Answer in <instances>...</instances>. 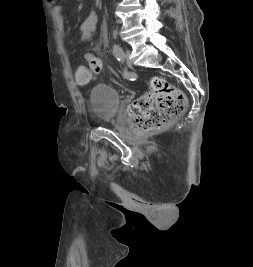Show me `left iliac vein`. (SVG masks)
<instances>
[{
    "instance_id": "obj_1",
    "label": "left iliac vein",
    "mask_w": 253,
    "mask_h": 267,
    "mask_svg": "<svg viewBox=\"0 0 253 267\" xmlns=\"http://www.w3.org/2000/svg\"><path fill=\"white\" fill-rule=\"evenodd\" d=\"M129 54H130L129 51H126V52L122 51V57H123V60H125V62H126L127 65L131 66V65H132V62H131V60L128 58Z\"/></svg>"
}]
</instances>
